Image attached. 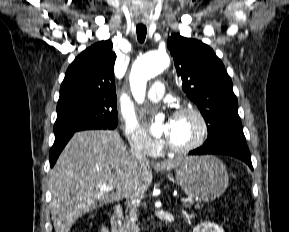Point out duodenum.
Here are the masks:
<instances>
[{
  "label": "duodenum",
  "instance_id": "1",
  "mask_svg": "<svg viewBox=\"0 0 289 232\" xmlns=\"http://www.w3.org/2000/svg\"><path fill=\"white\" fill-rule=\"evenodd\" d=\"M123 214V209L121 206H116L110 218L111 232H124L121 218Z\"/></svg>",
  "mask_w": 289,
  "mask_h": 232
}]
</instances>
